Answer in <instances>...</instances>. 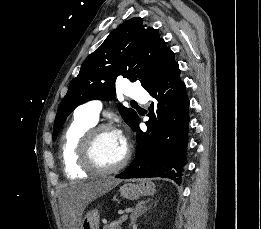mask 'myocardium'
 Listing matches in <instances>:
<instances>
[{"label":"myocardium","mask_w":261,"mask_h":229,"mask_svg":"<svg viewBox=\"0 0 261 229\" xmlns=\"http://www.w3.org/2000/svg\"><path fill=\"white\" fill-rule=\"evenodd\" d=\"M105 132H117L119 130L112 125H99L91 128L83 137L80 145V159L82 164L88 170L96 174H112L123 169L130 159V150L126 147V152L123 159L115 166L105 167L101 165L95 156V147L98 138Z\"/></svg>","instance_id":"obj_1"}]
</instances>
